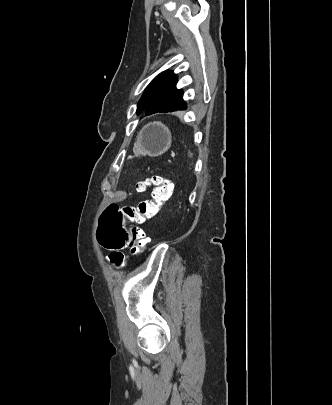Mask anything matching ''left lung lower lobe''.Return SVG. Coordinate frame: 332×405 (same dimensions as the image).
<instances>
[{"label": "left lung lower lobe", "mask_w": 332, "mask_h": 405, "mask_svg": "<svg viewBox=\"0 0 332 405\" xmlns=\"http://www.w3.org/2000/svg\"><path fill=\"white\" fill-rule=\"evenodd\" d=\"M145 111H146V114H147V115H151V114H154V113H157V112H172V111L158 110V109H156V108L154 107V105H149V106L145 109Z\"/></svg>", "instance_id": "0a47b994"}]
</instances>
